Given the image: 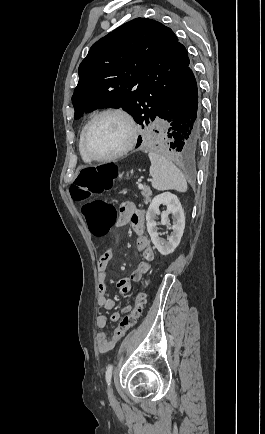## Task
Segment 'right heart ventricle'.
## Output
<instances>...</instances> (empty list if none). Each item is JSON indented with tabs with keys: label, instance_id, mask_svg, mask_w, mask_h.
<instances>
[{
	"label": "right heart ventricle",
	"instance_id": "1",
	"mask_svg": "<svg viewBox=\"0 0 265 434\" xmlns=\"http://www.w3.org/2000/svg\"><path fill=\"white\" fill-rule=\"evenodd\" d=\"M84 129H85V126H84V127L81 129V131H80L79 139H78V143H77V150H78V154H79V157H80L81 162H82L83 164L89 165V164H91L92 162H90L89 160H87V159L82 155L81 150H80V139H81V136H82L83 133H84Z\"/></svg>",
	"mask_w": 265,
	"mask_h": 434
}]
</instances>
